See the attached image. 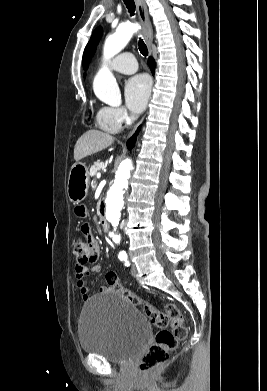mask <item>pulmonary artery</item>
I'll return each instance as SVG.
<instances>
[{
    "mask_svg": "<svg viewBox=\"0 0 267 391\" xmlns=\"http://www.w3.org/2000/svg\"><path fill=\"white\" fill-rule=\"evenodd\" d=\"M109 66L112 70L123 74H132L138 69L135 56L129 52L117 55L110 61Z\"/></svg>",
    "mask_w": 267,
    "mask_h": 391,
    "instance_id": "1",
    "label": "pulmonary artery"
}]
</instances>
